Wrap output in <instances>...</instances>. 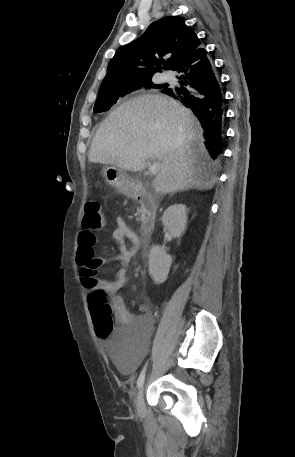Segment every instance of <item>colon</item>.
<instances>
[{
	"mask_svg": "<svg viewBox=\"0 0 295 457\" xmlns=\"http://www.w3.org/2000/svg\"><path fill=\"white\" fill-rule=\"evenodd\" d=\"M82 224L88 230H101L106 226V216L98 199L87 201ZM78 263L81 277L85 282L91 283L96 271L93 264L84 258H80ZM89 307L98 337L107 338L113 330L112 310L102 290L96 289L90 293Z\"/></svg>",
	"mask_w": 295,
	"mask_h": 457,
	"instance_id": "colon-1",
	"label": "colon"
}]
</instances>
